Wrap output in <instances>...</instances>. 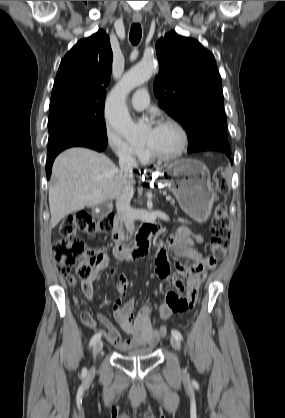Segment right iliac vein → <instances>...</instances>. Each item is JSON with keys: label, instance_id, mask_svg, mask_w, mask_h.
<instances>
[{"label": "right iliac vein", "instance_id": "obj_1", "mask_svg": "<svg viewBox=\"0 0 285 418\" xmlns=\"http://www.w3.org/2000/svg\"><path fill=\"white\" fill-rule=\"evenodd\" d=\"M102 348H103V342H102L101 340L97 341V342L94 344V347H93V357H94V359H95V358H96V356L100 353V351L102 350ZM93 370H94V367H92V368L90 369V373H91Z\"/></svg>", "mask_w": 285, "mask_h": 418}]
</instances>
